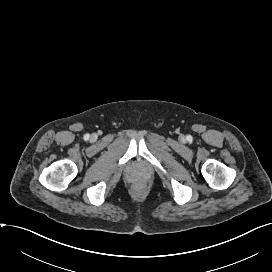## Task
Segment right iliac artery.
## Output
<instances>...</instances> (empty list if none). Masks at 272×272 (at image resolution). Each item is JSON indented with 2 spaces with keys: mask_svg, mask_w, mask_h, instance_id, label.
Wrapping results in <instances>:
<instances>
[{
  "mask_svg": "<svg viewBox=\"0 0 272 272\" xmlns=\"http://www.w3.org/2000/svg\"><path fill=\"white\" fill-rule=\"evenodd\" d=\"M85 137H86V138H89V135L87 134Z\"/></svg>",
  "mask_w": 272,
  "mask_h": 272,
  "instance_id": "obj_1",
  "label": "right iliac artery"
}]
</instances>
